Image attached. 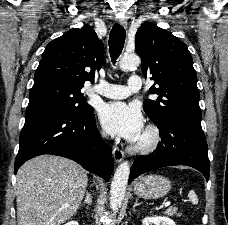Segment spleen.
<instances>
[{
    "label": "spleen",
    "instance_id": "spleen-1",
    "mask_svg": "<svg viewBox=\"0 0 228 225\" xmlns=\"http://www.w3.org/2000/svg\"><path fill=\"white\" fill-rule=\"evenodd\" d=\"M188 199L193 203V205H198V197L195 195L194 191H189Z\"/></svg>",
    "mask_w": 228,
    "mask_h": 225
}]
</instances>
